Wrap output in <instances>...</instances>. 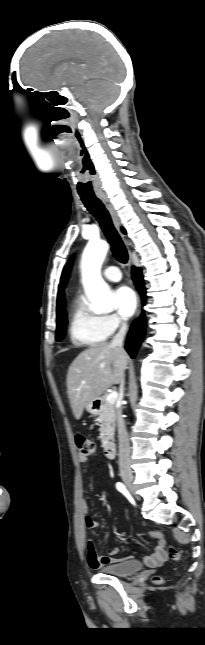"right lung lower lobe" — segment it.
<instances>
[{
	"label": "right lung lower lobe",
	"mask_w": 205,
	"mask_h": 645,
	"mask_svg": "<svg viewBox=\"0 0 205 645\" xmlns=\"http://www.w3.org/2000/svg\"><path fill=\"white\" fill-rule=\"evenodd\" d=\"M132 278L134 280V283L140 292L142 296V301L143 303L145 302V287L143 283V277L141 273V269L133 267L132 268ZM145 329H146V321H145V315L142 313L140 318L132 325L129 335H128V341L126 344V350L130 354L132 358L135 357L137 350L145 336Z\"/></svg>",
	"instance_id": "right-lung-lower-lobe-1"
}]
</instances>
